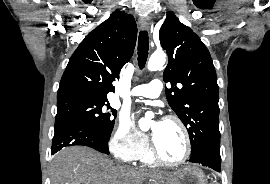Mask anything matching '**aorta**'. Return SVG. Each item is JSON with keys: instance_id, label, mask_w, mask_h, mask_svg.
<instances>
[{"instance_id": "1", "label": "aorta", "mask_w": 270, "mask_h": 184, "mask_svg": "<svg viewBox=\"0 0 270 184\" xmlns=\"http://www.w3.org/2000/svg\"><path fill=\"white\" fill-rule=\"evenodd\" d=\"M166 61V56L164 53H158L155 52L151 55L149 61H148V70L150 71H157L160 70ZM153 117V114L151 112L146 113L145 117L141 118L139 120V127L142 130H147L150 126L151 118Z\"/></svg>"}]
</instances>
